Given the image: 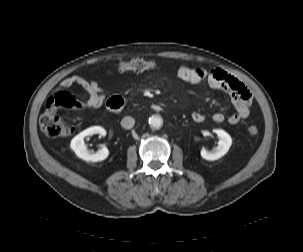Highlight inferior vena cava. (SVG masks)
Segmentation results:
<instances>
[{
	"mask_svg": "<svg viewBox=\"0 0 303 252\" xmlns=\"http://www.w3.org/2000/svg\"><path fill=\"white\" fill-rule=\"evenodd\" d=\"M134 124H135V120L130 116L124 117L121 121V126L125 129L132 128Z\"/></svg>",
	"mask_w": 303,
	"mask_h": 252,
	"instance_id": "inferior-vena-cava-1",
	"label": "inferior vena cava"
}]
</instances>
